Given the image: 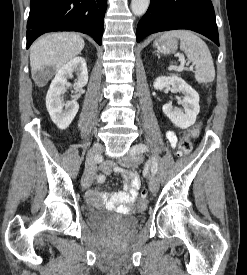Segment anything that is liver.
Listing matches in <instances>:
<instances>
[{
	"instance_id": "1",
	"label": "liver",
	"mask_w": 247,
	"mask_h": 275,
	"mask_svg": "<svg viewBox=\"0 0 247 275\" xmlns=\"http://www.w3.org/2000/svg\"><path fill=\"white\" fill-rule=\"evenodd\" d=\"M85 42L76 33L62 32L47 34L30 48V66L33 78L45 68L60 69L65 63L79 55Z\"/></svg>"
}]
</instances>
